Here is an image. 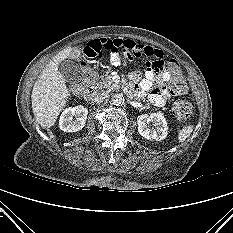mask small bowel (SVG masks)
<instances>
[{
    "mask_svg": "<svg viewBox=\"0 0 233 233\" xmlns=\"http://www.w3.org/2000/svg\"><path fill=\"white\" fill-rule=\"evenodd\" d=\"M80 52L87 59L100 58L107 53L110 55L111 63L115 66L133 61L142 55L152 58V61L145 63L144 78L141 79L137 72L130 73L132 86L129 92L142 97L149 91V100L156 106H163L166 100L174 94L166 84L171 73L165 62L164 53L159 49L129 39L98 38L81 46Z\"/></svg>",
    "mask_w": 233,
    "mask_h": 233,
    "instance_id": "1",
    "label": "small bowel"
}]
</instances>
